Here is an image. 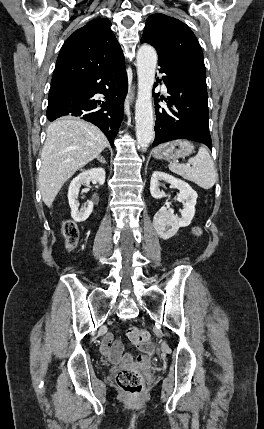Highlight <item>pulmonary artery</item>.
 <instances>
[{
    "label": "pulmonary artery",
    "mask_w": 264,
    "mask_h": 429,
    "mask_svg": "<svg viewBox=\"0 0 264 429\" xmlns=\"http://www.w3.org/2000/svg\"><path fill=\"white\" fill-rule=\"evenodd\" d=\"M162 90L165 91V92L167 91V88H166L165 84H162Z\"/></svg>",
    "instance_id": "e3ab8cb5"
}]
</instances>
